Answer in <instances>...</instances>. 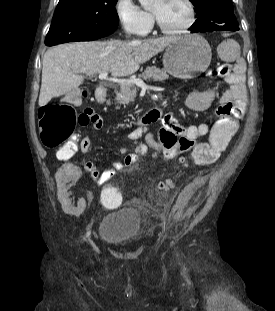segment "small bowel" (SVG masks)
I'll return each mask as SVG.
<instances>
[{
  "mask_svg": "<svg viewBox=\"0 0 275 311\" xmlns=\"http://www.w3.org/2000/svg\"><path fill=\"white\" fill-rule=\"evenodd\" d=\"M218 54L219 57L235 58L232 74L227 78L228 89L219 96H216L213 89L196 91L187 99V107L191 111L211 110L212 116L204 122L182 125L171 113L161 116L162 112L155 110L154 113L148 114L145 124H140L128 135L133 143L134 153H127V148L124 146L119 147L118 152L124 156L123 159L114 161L101 173L91 160H84V170L92 175L98 185L108 183L117 171L134 163L139 156L146 155L149 149L153 150L152 157L154 158L160 156L168 159L174 158L190 149L193 141L207 136L210 129L216 125V122H213L215 118L239 119L242 116L246 103L245 62L240 57L239 45L233 40L224 41L221 46H218ZM93 114L89 124L94 129H100L103 126L102 118L94 112ZM148 126H158V128L153 133ZM81 149L83 153L90 151L89 138L85 137L81 141ZM77 164L76 160H70L65 162L63 169L56 170L57 183L61 193L57 195V200L62 201L58 212L65 213L66 216L84 215L85 199L81 198L83 187H74L73 185V179L83 176L84 173L83 169H77Z\"/></svg>",
  "mask_w": 275,
  "mask_h": 311,
  "instance_id": "small-bowel-1",
  "label": "small bowel"
}]
</instances>
